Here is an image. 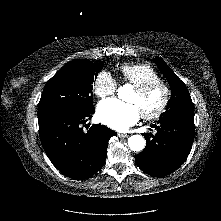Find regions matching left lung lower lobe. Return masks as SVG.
I'll use <instances>...</instances> for the list:
<instances>
[{"instance_id":"1","label":"left lung lower lobe","mask_w":221,"mask_h":221,"mask_svg":"<svg viewBox=\"0 0 221 221\" xmlns=\"http://www.w3.org/2000/svg\"><path fill=\"white\" fill-rule=\"evenodd\" d=\"M153 127L155 136L144 133L146 147L136 155V164L147 174L163 177L178 169L186 160L194 139V118L160 119Z\"/></svg>"}]
</instances>
